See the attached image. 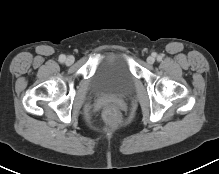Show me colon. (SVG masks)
Wrapping results in <instances>:
<instances>
[{"label": "colon", "mask_w": 219, "mask_h": 174, "mask_svg": "<svg viewBox=\"0 0 219 174\" xmlns=\"http://www.w3.org/2000/svg\"><path fill=\"white\" fill-rule=\"evenodd\" d=\"M103 117L107 123L115 125L120 120V111L116 105L109 104L103 111Z\"/></svg>", "instance_id": "obj_1"}]
</instances>
